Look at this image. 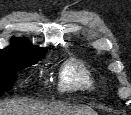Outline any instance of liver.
Returning a JSON list of instances; mask_svg holds the SVG:
<instances>
[{
    "mask_svg": "<svg viewBox=\"0 0 131 115\" xmlns=\"http://www.w3.org/2000/svg\"><path fill=\"white\" fill-rule=\"evenodd\" d=\"M0 115H97L89 107L42 104L26 99L0 102Z\"/></svg>",
    "mask_w": 131,
    "mask_h": 115,
    "instance_id": "obj_1",
    "label": "liver"
}]
</instances>
